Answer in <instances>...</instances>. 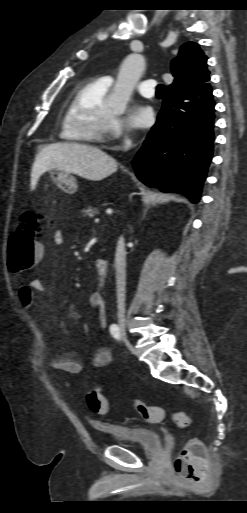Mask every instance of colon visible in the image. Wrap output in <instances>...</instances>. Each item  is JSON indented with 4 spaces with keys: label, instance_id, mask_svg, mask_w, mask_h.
Returning <instances> with one entry per match:
<instances>
[{
    "label": "colon",
    "instance_id": "5ec220e1",
    "mask_svg": "<svg viewBox=\"0 0 247 513\" xmlns=\"http://www.w3.org/2000/svg\"><path fill=\"white\" fill-rule=\"evenodd\" d=\"M41 221L33 212L23 214L16 231L11 235L8 245V263L12 274L28 271L41 256L40 238L42 236ZM89 409L96 414H106L108 404L102 391L94 387L86 394ZM134 410L147 422L160 423L167 413L160 406L149 405L139 399H131ZM173 421L180 427L191 425V416L185 412L172 414ZM205 449L200 440L192 438L184 445L174 461V472L180 478H193L202 469Z\"/></svg>",
    "mask_w": 247,
    "mask_h": 513
}]
</instances>
